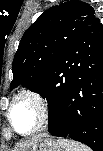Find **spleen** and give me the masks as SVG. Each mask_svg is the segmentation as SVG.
<instances>
[{
    "label": "spleen",
    "instance_id": "obj_1",
    "mask_svg": "<svg viewBox=\"0 0 103 151\" xmlns=\"http://www.w3.org/2000/svg\"><path fill=\"white\" fill-rule=\"evenodd\" d=\"M58 141L60 145L65 149V151H92L84 144H81L71 139L60 138Z\"/></svg>",
    "mask_w": 103,
    "mask_h": 151
}]
</instances>
